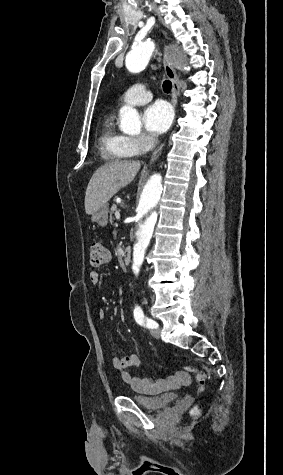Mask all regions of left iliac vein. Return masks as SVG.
<instances>
[{"label":"left iliac vein","mask_w":283,"mask_h":475,"mask_svg":"<svg viewBox=\"0 0 283 475\" xmlns=\"http://www.w3.org/2000/svg\"><path fill=\"white\" fill-rule=\"evenodd\" d=\"M151 335L156 338V339H159L160 338V331L158 329H151Z\"/></svg>","instance_id":"left-iliac-vein-1"}]
</instances>
